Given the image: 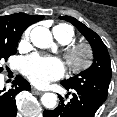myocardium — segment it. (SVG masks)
Listing matches in <instances>:
<instances>
[{"instance_id": "obj_1", "label": "myocardium", "mask_w": 117, "mask_h": 117, "mask_svg": "<svg viewBox=\"0 0 117 117\" xmlns=\"http://www.w3.org/2000/svg\"><path fill=\"white\" fill-rule=\"evenodd\" d=\"M65 58L70 68L79 72L91 63L92 52L87 44L75 43L66 48Z\"/></svg>"}]
</instances>
